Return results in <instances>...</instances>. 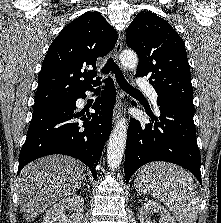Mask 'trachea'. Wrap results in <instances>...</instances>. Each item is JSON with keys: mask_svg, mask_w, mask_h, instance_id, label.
Listing matches in <instances>:
<instances>
[{"mask_svg": "<svg viewBox=\"0 0 221 223\" xmlns=\"http://www.w3.org/2000/svg\"><path fill=\"white\" fill-rule=\"evenodd\" d=\"M110 71H112L115 76L118 84L121 88H123L125 91L135 94H141L139 90L132 87L124 78L122 72L120 71L119 67L116 65V63L113 61L112 58H109L105 64V66L102 69V72L105 74H108Z\"/></svg>", "mask_w": 221, "mask_h": 223, "instance_id": "trachea-1", "label": "trachea"}]
</instances>
